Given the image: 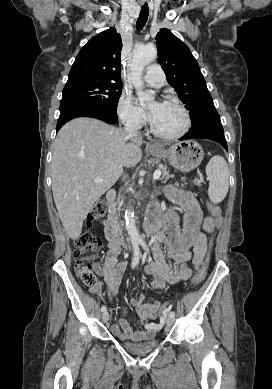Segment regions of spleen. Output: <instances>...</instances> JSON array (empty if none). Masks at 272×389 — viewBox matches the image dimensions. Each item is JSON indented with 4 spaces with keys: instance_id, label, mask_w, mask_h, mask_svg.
<instances>
[{
    "instance_id": "1",
    "label": "spleen",
    "mask_w": 272,
    "mask_h": 389,
    "mask_svg": "<svg viewBox=\"0 0 272 389\" xmlns=\"http://www.w3.org/2000/svg\"><path fill=\"white\" fill-rule=\"evenodd\" d=\"M206 174L209 179V198L213 203H219L229 190V171L225 159L220 155L212 157L206 166Z\"/></svg>"
}]
</instances>
